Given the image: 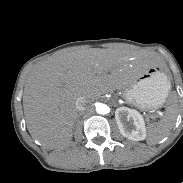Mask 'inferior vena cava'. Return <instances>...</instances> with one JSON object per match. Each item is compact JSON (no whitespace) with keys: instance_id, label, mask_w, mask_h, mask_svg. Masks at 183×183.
I'll return each instance as SVG.
<instances>
[{"instance_id":"obj_1","label":"inferior vena cava","mask_w":183,"mask_h":183,"mask_svg":"<svg viewBox=\"0 0 183 183\" xmlns=\"http://www.w3.org/2000/svg\"><path fill=\"white\" fill-rule=\"evenodd\" d=\"M88 101L84 97H79L76 101V109L79 111H83Z\"/></svg>"}]
</instances>
